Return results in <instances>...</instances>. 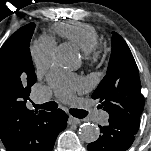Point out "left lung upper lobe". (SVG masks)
I'll return each instance as SVG.
<instances>
[{
    "mask_svg": "<svg viewBox=\"0 0 151 151\" xmlns=\"http://www.w3.org/2000/svg\"><path fill=\"white\" fill-rule=\"evenodd\" d=\"M112 52L105 77L92 94L98 99L109 121L136 134L144 107L139 72L133 55L116 32H112Z\"/></svg>",
    "mask_w": 151,
    "mask_h": 151,
    "instance_id": "1",
    "label": "left lung upper lobe"
}]
</instances>
